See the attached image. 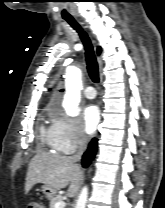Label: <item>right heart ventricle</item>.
Masks as SVG:
<instances>
[{
  "label": "right heart ventricle",
  "mask_w": 165,
  "mask_h": 208,
  "mask_svg": "<svg viewBox=\"0 0 165 208\" xmlns=\"http://www.w3.org/2000/svg\"><path fill=\"white\" fill-rule=\"evenodd\" d=\"M43 139L50 144V138H49V129H46L45 127L41 128ZM51 145V144H50Z\"/></svg>",
  "instance_id": "right-heart-ventricle-1"
}]
</instances>
